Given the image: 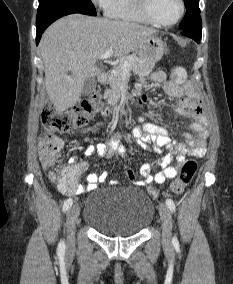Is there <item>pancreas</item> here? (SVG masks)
Segmentation results:
<instances>
[{
  "label": "pancreas",
  "instance_id": "pancreas-1",
  "mask_svg": "<svg viewBox=\"0 0 233 284\" xmlns=\"http://www.w3.org/2000/svg\"><path fill=\"white\" fill-rule=\"evenodd\" d=\"M124 62L128 63L126 70L123 67ZM153 68L154 64L145 62L135 53L122 57L118 64L114 67L112 75L109 79L111 89H107L105 91V98L107 99L108 103L115 105L118 102L121 94V85L123 83V79L129 74L130 71L139 76H145L148 75Z\"/></svg>",
  "mask_w": 233,
  "mask_h": 284
}]
</instances>
